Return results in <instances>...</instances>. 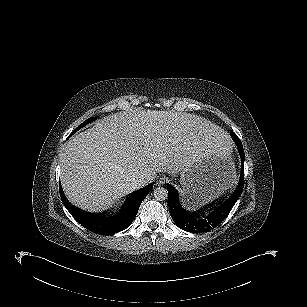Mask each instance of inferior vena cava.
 Segmentation results:
<instances>
[{"label":"inferior vena cava","instance_id":"inferior-vena-cava-1","mask_svg":"<svg viewBox=\"0 0 307 307\" xmlns=\"http://www.w3.org/2000/svg\"><path fill=\"white\" fill-rule=\"evenodd\" d=\"M146 180L144 178H133L130 181V187L132 189L140 188L141 186H144L146 184Z\"/></svg>","mask_w":307,"mask_h":307}]
</instances>
